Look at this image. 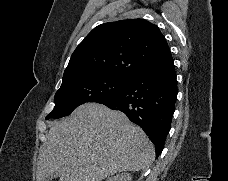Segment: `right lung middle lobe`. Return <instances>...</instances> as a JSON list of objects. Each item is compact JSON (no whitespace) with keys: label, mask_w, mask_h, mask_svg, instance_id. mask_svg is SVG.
Listing matches in <instances>:
<instances>
[{"label":"right lung middle lobe","mask_w":228,"mask_h":181,"mask_svg":"<svg viewBox=\"0 0 228 181\" xmlns=\"http://www.w3.org/2000/svg\"><path fill=\"white\" fill-rule=\"evenodd\" d=\"M130 79L131 77L103 74L61 85L54 97L55 107L46 119L67 116L77 106L87 102L110 101L126 88Z\"/></svg>","instance_id":"right-lung-middle-lobe-1"}]
</instances>
